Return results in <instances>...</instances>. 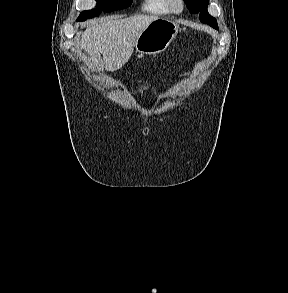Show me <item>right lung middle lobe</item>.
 <instances>
[{
    "label": "right lung middle lobe",
    "instance_id": "1",
    "mask_svg": "<svg viewBox=\"0 0 288 293\" xmlns=\"http://www.w3.org/2000/svg\"><path fill=\"white\" fill-rule=\"evenodd\" d=\"M97 8L95 10L83 11L77 21H85L88 18L99 15L102 11L111 12L124 9L131 5L133 0H96Z\"/></svg>",
    "mask_w": 288,
    "mask_h": 293
}]
</instances>
